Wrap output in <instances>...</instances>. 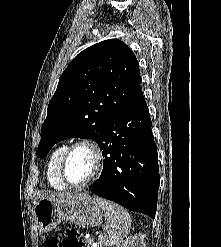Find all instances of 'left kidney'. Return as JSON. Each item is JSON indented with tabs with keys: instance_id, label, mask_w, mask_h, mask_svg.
<instances>
[{
	"instance_id": "left-kidney-1",
	"label": "left kidney",
	"mask_w": 221,
	"mask_h": 247,
	"mask_svg": "<svg viewBox=\"0 0 221 247\" xmlns=\"http://www.w3.org/2000/svg\"><path fill=\"white\" fill-rule=\"evenodd\" d=\"M116 247H146L145 234L130 236Z\"/></svg>"
}]
</instances>
